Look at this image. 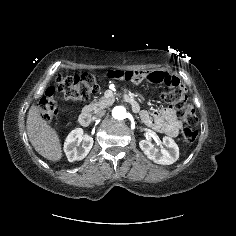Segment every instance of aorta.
Wrapping results in <instances>:
<instances>
[{
	"instance_id": "obj_1",
	"label": "aorta",
	"mask_w": 236,
	"mask_h": 236,
	"mask_svg": "<svg viewBox=\"0 0 236 236\" xmlns=\"http://www.w3.org/2000/svg\"><path fill=\"white\" fill-rule=\"evenodd\" d=\"M127 116V109L122 106L118 105L115 106L112 110V117L116 120H124Z\"/></svg>"
}]
</instances>
